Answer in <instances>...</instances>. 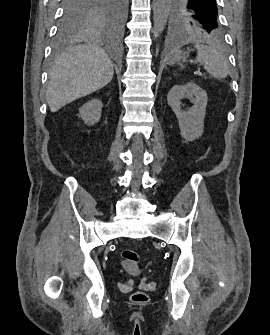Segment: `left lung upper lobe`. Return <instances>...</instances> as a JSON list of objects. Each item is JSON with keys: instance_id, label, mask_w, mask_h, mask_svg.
<instances>
[{"instance_id": "5c2ea615", "label": "left lung upper lobe", "mask_w": 270, "mask_h": 335, "mask_svg": "<svg viewBox=\"0 0 270 335\" xmlns=\"http://www.w3.org/2000/svg\"><path fill=\"white\" fill-rule=\"evenodd\" d=\"M171 13L174 23L185 30L210 36L221 33L216 0H173Z\"/></svg>"}]
</instances>
